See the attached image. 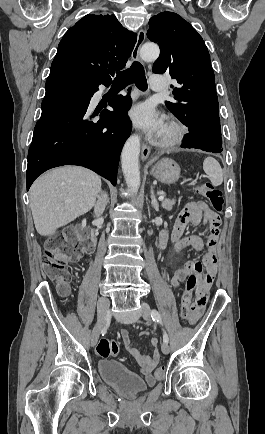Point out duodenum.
Segmentation results:
<instances>
[{"mask_svg":"<svg viewBox=\"0 0 265 434\" xmlns=\"http://www.w3.org/2000/svg\"><path fill=\"white\" fill-rule=\"evenodd\" d=\"M165 248V245H163L161 242H159V245H158V252H161V251H163V249Z\"/></svg>","mask_w":265,"mask_h":434,"instance_id":"obj_1","label":"duodenum"}]
</instances>
